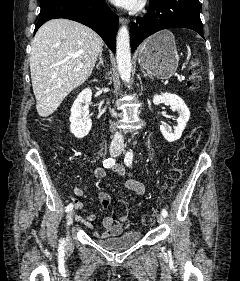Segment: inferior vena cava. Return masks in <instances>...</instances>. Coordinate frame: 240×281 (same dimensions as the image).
<instances>
[{"instance_id": "1", "label": "inferior vena cava", "mask_w": 240, "mask_h": 281, "mask_svg": "<svg viewBox=\"0 0 240 281\" xmlns=\"http://www.w3.org/2000/svg\"><path fill=\"white\" fill-rule=\"evenodd\" d=\"M112 115L117 117V114L115 111L112 112ZM112 143L113 144H122L123 143V135L121 132H116L114 137H113V140H112Z\"/></svg>"}]
</instances>
